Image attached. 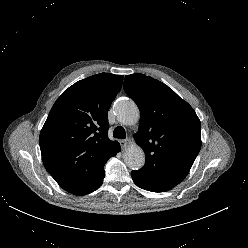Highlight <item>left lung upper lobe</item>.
Here are the masks:
<instances>
[{
  "label": "left lung upper lobe",
  "mask_w": 248,
  "mask_h": 248,
  "mask_svg": "<svg viewBox=\"0 0 248 248\" xmlns=\"http://www.w3.org/2000/svg\"><path fill=\"white\" fill-rule=\"evenodd\" d=\"M124 90L140 110L136 143L146 163L137 170L145 189L165 192L189 173L201 149L200 120L164 83L143 74L125 76Z\"/></svg>",
  "instance_id": "left-lung-upper-lobe-1"
}]
</instances>
